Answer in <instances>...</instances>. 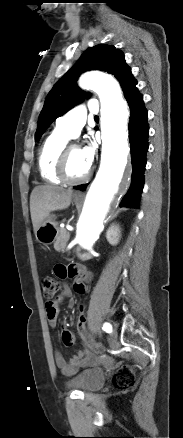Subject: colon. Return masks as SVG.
<instances>
[{"label": "colon", "instance_id": "5ec220e1", "mask_svg": "<svg viewBox=\"0 0 183 438\" xmlns=\"http://www.w3.org/2000/svg\"><path fill=\"white\" fill-rule=\"evenodd\" d=\"M43 295L48 301H52L60 289L59 282L51 277L46 276L42 279ZM87 311L84 305L79 308V316L77 320V330L82 340L89 345L95 353H101L103 346L93 342L87 331ZM113 385L119 390H127L135 384V373L129 365L121 366L113 375Z\"/></svg>", "mask_w": 183, "mask_h": 438}]
</instances>
